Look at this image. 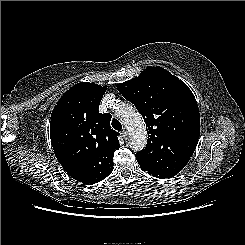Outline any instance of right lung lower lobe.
<instances>
[{
    "label": "right lung lower lobe",
    "instance_id": "right-lung-lower-lobe-1",
    "mask_svg": "<svg viewBox=\"0 0 245 245\" xmlns=\"http://www.w3.org/2000/svg\"><path fill=\"white\" fill-rule=\"evenodd\" d=\"M112 170H113V167L110 168V169L107 171V173H106V175H105L104 177H107V176L112 172ZM66 172H67L68 175L71 176L73 179H75V180H77V181L80 182V177H79V175L77 174V172H75L74 170H69V171H66Z\"/></svg>",
    "mask_w": 245,
    "mask_h": 245
}]
</instances>
